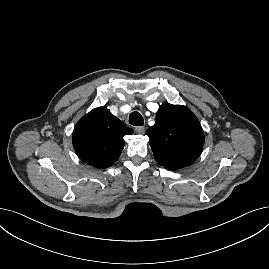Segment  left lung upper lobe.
<instances>
[{
	"label": "left lung upper lobe",
	"instance_id": "left-lung-upper-lobe-1",
	"mask_svg": "<svg viewBox=\"0 0 269 269\" xmlns=\"http://www.w3.org/2000/svg\"><path fill=\"white\" fill-rule=\"evenodd\" d=\"M146 134L157 163L169 170L192 164L202 152V127L195 115L182 105L162 104L154 126Z\"/></svg>",
	"mask_w": 269,
	"mask_h": 269
}]
</instances>
